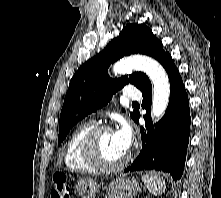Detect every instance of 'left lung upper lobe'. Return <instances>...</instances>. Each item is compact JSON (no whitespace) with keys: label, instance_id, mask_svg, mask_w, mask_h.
Here are the masks:
<instances>
[{"label":"left lung upper lobe","instance_id":"left-lung-upper-lobe-1","mask_svg":"<svg viewBox=\"0 0 221 198\" xmlns=\"http://www.w3.org/2000/svg\"><path fill=\"white\" fill-rule=\"evenodd\" d=\"M131 54H145L162 64L169 53L163 50L162 43L144 24L126 25L117 38L84 63L72 77L60 114L58 145L79 120L106 105L123 86L131 83L141 89L150 82L142 72L115 80L109 77L107 71L110 64ZM137 114L133 111L130 116L135 120Z\"/></svg>","mask_w":221,"mask_h":198}]
</instances>
